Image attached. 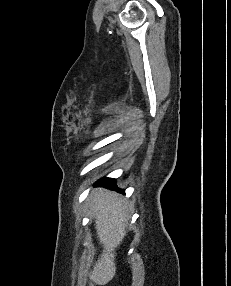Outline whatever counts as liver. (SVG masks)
Masks as SVG:
<instances>
[{
	"label": "liver",
	"instance_id": "1",
	"mask_svg": "<svg viewBox=\"0 0 231 286\" xmlns=\"http://www.w3.org/2000/svg\"><path fill=\"white\" fill-rule=\"evenodd\" d=\"M91 198L97 238L103 252L90 273V279L98 285H105L116 274L115 249L126 235L132 208L117 193L105 189H97Z\"/></svg>",
	"mask_w": 231,
	"mask_h": 286
}]
</instances>
